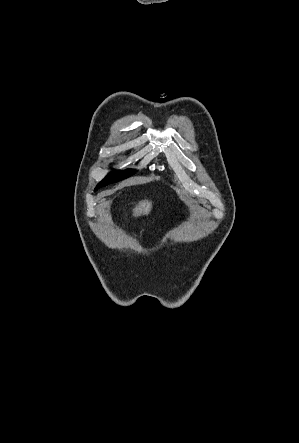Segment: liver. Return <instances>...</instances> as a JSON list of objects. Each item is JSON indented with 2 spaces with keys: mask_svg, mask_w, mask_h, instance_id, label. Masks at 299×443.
<instances>
[{
  "mask_svg": "<svg viewBox=\"0 0 299 443\" xmlns=\"http://www.w3.org/2000/svg\"><path fill=\"white\" fill-rule=\"evenodd\" d=\"M152 209V202L143 200L133 209V216L138 217L140 215H148Z\"/></svg>",
  "mask_w": 299,
  "mask_h": 443,
  "instance_id": "liver-1",
  "label": "liver"
}]
</instances>
